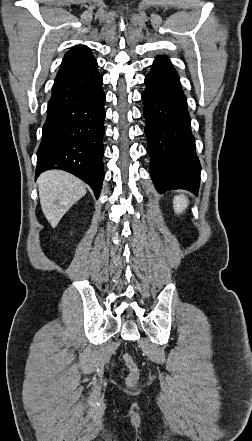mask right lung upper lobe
I'll return each instance as SVG.
<instances>
[{
  "label": "right lung upper lobe",
  "instance_id": "right-lung-upper-lobe-1",
  "mask_svg": "<svg viewBox=\"0 0 252 441\" xmlns=\"http://www.w3.org/2000/svg\"><path fill=\"white\" fill-rule=\"evenodd\" d=\"M94 61L96 60L87 46H74L66 53L57 77Z\"/></svg>",
  "mask_w": 252,
  "mask_h": 441
}]
</instances>
